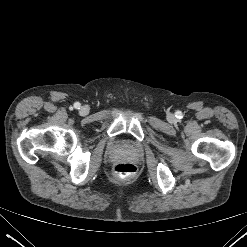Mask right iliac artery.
<instances>
[{"instance_id": "right-iliac-artery-1", "label": "right iliac artery", "mask_w": 247, "mask_h": 247, "mask_svg": "<svg viewBox=\"0 0 247 247\" xmlns=\"http://www.w3.org/2000/svg\"><path fill=\"white\" fill-rule=\"evenodd\" d=\"M74 108L79 109V108H80V103H79V102H76V103L74 104Z\"/></svg>"}]
</instances>
